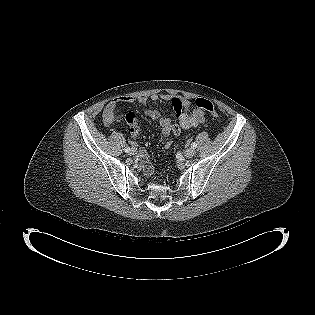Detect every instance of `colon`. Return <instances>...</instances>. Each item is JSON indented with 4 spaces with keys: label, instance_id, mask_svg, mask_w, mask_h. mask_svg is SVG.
Listing matches in <instances>:
<instances>
[{
    "label": "colon",
    "instance_id": "1",
    "mask_svg": "<svg viewBox=\"0 0 315 315\" xmlns=\"http://www.w3.org/2000/svg\"><path fill=\"white\" fill-rule=\"evenodd\" d=\"M195 105L196 107L208 112L211 117L215 120L219 119V114L217 113L214 104L208 100V99H204V98H198L195 101ZM115 112H116V108L114 110V118H115ZM125 120L132 125V127L137 125V117L134 113H128L125 116Z\"/></svg>",
    "mask_w": 315,
    "mask_h": 315
}]
</instances>
